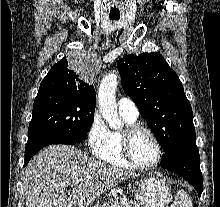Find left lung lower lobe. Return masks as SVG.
<instances>
[{
    "label": "left lung lower lobe",
    "mask_w": 220,
    "mask_h": 207,
    "mask_svg": "<svg viewBox=\"0 0 220 207\" xmlns=\"http://www.w3.org/2000/svg\"><path fill=\"white\" fill-rule=\"evenodd\" d=\"M162 167L185 178L201 196L203 177L196 139L182 143L165 152Z\"/></svg>",
    "instance_id": "1"
}]
</instances>
